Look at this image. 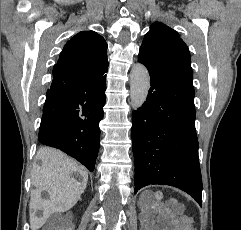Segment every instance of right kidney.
I'll use <instances>...</instances> for the list:
<instances>
[{"label":"right kidney","mask_w":241,"mask_h":230,"mask_svg":"<svg viewBox=\"0 0 241 230\" xmlns=\"http://www.w3.org/2000/svg\"><path fill=\"white\" fill-rule=\"evenodd\" d=\"M34 195H38V191H35V192H34Z\"/></svg>","instance_id":"right-kidney-1"}]
</instances>
